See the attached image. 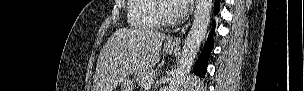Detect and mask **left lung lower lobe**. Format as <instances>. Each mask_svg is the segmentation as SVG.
Masks as SVG:
<instances>
[{
    "mask_svg": "<svg viewBox=\"0 0 304 91\" xmlns=\"http://www.w3.org/2000/svg\"><path fill=\"white\" fill-rule=\"evenodd\" d=\"M219 1L220 0H215V10H214L215 14L218 13V11H219ZM214 28H215V23H213V26H212L211 32L209 34L208 40L206 42V45L204 46L202 53L200 54V56L195 64V67H194V73L199 76H202V77L205 76L206 69L208 66V59L210 56V52L214 46V41H213Z\"/></svg>",
    "mask_w": 304,
    "mask_h": 91,
    "instance_id": "1",
    "label": "left lung lower lobe"
}]
</instances>
